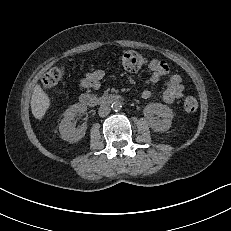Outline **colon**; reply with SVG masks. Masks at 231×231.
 Segmentation results:
<instances>
[{
	"label": "colon",
	"mask_w": 231,
	"mask_h": 231,
	"mask_svg": "<svg viewBox=\"0 0 231 231\" xmlns=\"http://www.w3.org/2000/svg\"><path fill=\"white\" fill-rule=\"evenodd\" d=\"M119 64L123 69L129 72H137L146 66L147 59L138 52L127 51L119 57ZM64 73L63 67H54L48 71L42 79L43 88L51 89L57 86L64 77ZM197 108L198 102L196 98L189 96L184 100V109L187 112H194Z\"/></svg>",
	"instance_id": "colon-1"
}]
</instances>
